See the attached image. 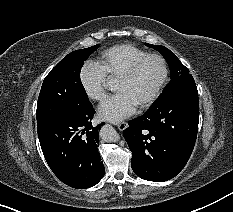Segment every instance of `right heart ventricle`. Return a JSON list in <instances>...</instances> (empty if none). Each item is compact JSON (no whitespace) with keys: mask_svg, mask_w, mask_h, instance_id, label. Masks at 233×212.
Listing matches in <instances>:
<instances>
[{"mask_svg":"<svg viewBox=\"0 0 233 212\" xmlns=\"http://www.w3.org/2000/svg\"><path fill=\"white\" fill-rule=\"evenodd\" d=\"M148 54L147 51L131 45L121 44L103 51L97 60L105 76L109 79L118 78L136 59Z\"/></svg>","mask_w":233,"mask_h":212,"instance_id":"e07e8e85","label":"right heart ventricle"}]
</instances>
